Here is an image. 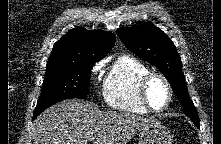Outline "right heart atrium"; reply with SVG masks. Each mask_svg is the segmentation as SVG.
I'll return each mask as SVG.
<instances>
[{"label":"right heart atrium","instance_id":"obj_1","mask_svg":"<svg viewBox=\"0 0 221 144\" xmlns=\"http://www.w3.org/2000/svg\"><path fill=\"white\" fill-rule=\"evenodd\" d=\"M101 67H102V63L95 64V66L92 69V74L96 75L100 71Z\"/></svg>","mask_w":221,"mask_h":144}]
</instances>
